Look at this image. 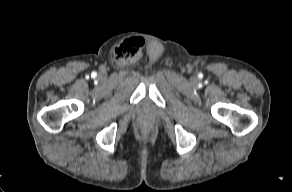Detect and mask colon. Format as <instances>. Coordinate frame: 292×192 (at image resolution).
<instances>
[{"label":"colon","mask_w":292,"mask_h":192,"mask_svg":"<svg viewBox=\"0 0 292 192\" xmlns=\"http://www.w3.org/2000/svg\"><path fill=\"white\" fill-rule=\"evenodd\" d=\"M142 45L143 42L139 38L133 39L129 42H124L116 49V55L118 57L135 55L138 53Z\"/></svg>","instance_id":"1"}]
</instances>
